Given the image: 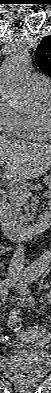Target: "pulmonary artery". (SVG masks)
Listing matches in <instances>:
<instances>
[{
    "label": "pulmonary artery",
    "instance_id": "pulmonary-artery-1",
    "mask_svg": "<svg viewBox=\"0 0 51 393\" xmlns=\"http://www.w3.org/2000/svg\"><path fill=\"white\" fill-rule=\"evenodd\" d=\"M33 82L38 91L49 92L51 90L50 80L43 75H34Z\"/></svg>",
    "mask_w": 51,
    "mask_h": 393
}]
</instances>
